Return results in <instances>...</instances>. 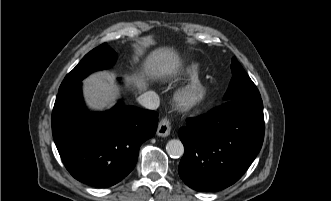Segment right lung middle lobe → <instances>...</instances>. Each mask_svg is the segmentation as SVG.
I'll list each match as a JSON object with an SVG mask.
<instances>
[{
    "label": "right lung middle lobe",
    "mask_w": 331,
    "mask_h": 201,
    "mask_svg": "<svg viewBox=\"0 0 331 201\" xmlns=\"http://www.w3.org/2000/svg\"><path fill=\"white\" fill-rule=\"evenodd\" d=\"M116 61V53L106 43L93 49L79 62V64L65 77L59 92L80 83L91 72L111 67Z\"/></svg>",
    "instance_id": "obj_1"
}]
</instances>
